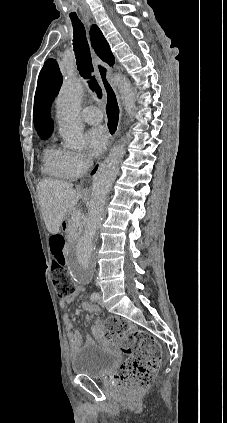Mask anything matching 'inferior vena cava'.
<instances>
[{
    "instance_id": "inferior-vena-cava-1",
    "label": "inferior vena cava",
    "mask_w": 227,
    "mask_h": 423,
    "mask_svg": "<svg viewBox=\"0 0 227 423\" xmlns=\"http://www.w3.org/2000/svg\"><path fill=\"white\" fill-rule=\"evenodd\" d=\"M85 162H86V164H88V166H92V164H93L92 156H86Z\"/></svg>"
}]
</instances>
